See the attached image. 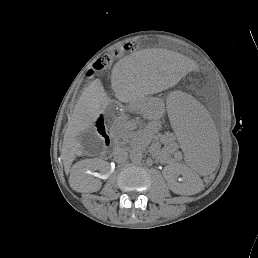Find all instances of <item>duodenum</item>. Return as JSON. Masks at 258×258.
Instances as JSON below:
<instances>
[{"label":"duodenum","mask_w":258,"mask_h":258,"mask_svg":"<svg viewBox=\"0 0 258 258\" xmlns=\"http://www.w3.org/2000/svg\"><path fill=\"white\" fill-rule=\"evenodd\" d=\"M100 130H102V133H101L102 137L105 140L106 145L108 146V143H109L111 138H110L109 134L107 133V131L104 129V124L103 123H101V125H100Z\"/></svg>","instance_id":"obj_1"}]
</instances>
